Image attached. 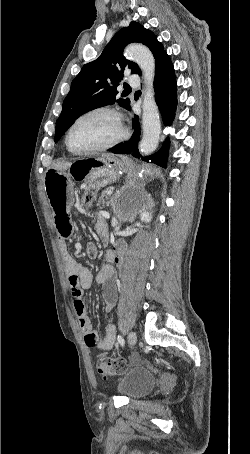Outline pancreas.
<instances>
[{
  "label": "pancreas",
  "instance_id": "cf45deb5",
  "mask_svg": "<svg viewBox=\"0 0 250 454\" xmlns=\"http://www.w3.org/2000/svg\"><path fill=\"white\" fill-rule=\"evenodd\" d=\"M110 191H111V188H107V189H105V190L102 192V194H101V196H100L99 203H104V197H106L107 194H108ZM103 206H104V205H103ZM101 208H103V207H101Z\"/></svg>",
  "mask_w": 250,
  "mask_h": 454
}]
</instances>
